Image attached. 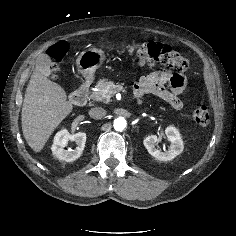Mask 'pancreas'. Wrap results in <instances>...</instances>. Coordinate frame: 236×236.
I'll return each mask as SVG.
<instances>
[{"label": "pancreas", "mask_w": 236, "mask_h": 236, "mask_svg": "<svg viewBox=\"0 0 236 236\" xmlns=\"http://www.w3.org/2000/svg\"><path fill=\"white\" fill-rule=\"evenodd\" d=\"M95 88L97 91H92L90 98L94 101L108 102L110 97L114 95L117 91V86L115 82L108 79H100ZM107 90V92H106Z\"/></svg>", "instance_id": "1"}]
</instances>
